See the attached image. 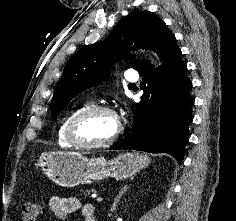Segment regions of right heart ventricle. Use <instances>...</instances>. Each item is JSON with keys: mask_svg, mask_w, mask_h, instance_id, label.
<instances>
[{"mask_svg": "<svg viewBox=\"0 0 236 221\" xmlns=\"http://www.w3.org/2000/svg\"><path fill=\"white\" fill-rule=\"evenodd\" d=\"M88 104H83L73 110H71L70 112H68L65 117L62 119V121L59 124V127L57 129V144L59 147L63 148V149H71L74 148V146L67 140L66 138V129H67V125L68 122L70 121V119L81 109L87 107Z\"/></svg>", "mask_w": 236, "mask_h": 221, "instance_id": "right-heart-ventricle-1", "label": "right heart ventricle"}]
</instances>
